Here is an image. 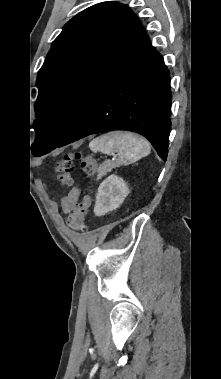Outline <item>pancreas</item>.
Returning <instances> with one entry per match:
<instances>
[{"label": "pancreas", "instance_id": "1", "mask_svg": "<svg viewBox=\"0 0 221 379\" xmlns=\"http://www.w3.org/2000/svg\"><path fill=\"white\" fill-rule=\"evenodd\" d=\"M116 167L115 163H110V162H104L99 165L98 168V175H97V180L101 179L103 176L107 174V172L112 171Z\"/></svg>", "mask_w": 221, "mask_h": 379}]
</instances>
